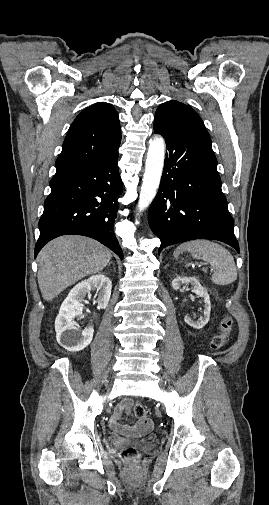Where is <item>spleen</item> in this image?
I'll list each match as a JSON object with an SVG mask.
<instances>
[{
	"mask_svg": "<svg viewBox=\"0 0 269 505\" xmlns=\"http://www.w3.org/2000/svg\"><path fill=\"white\" fill-rule=\"evenodd\" d=\"M189 252L194 258L209 263L214 270L212 281L217 285H228L237 279V270L231 253L222 245L206 239H197L180 244L173 255L178 258Z\"/></svg>",
	"mask_w": 269,
	"mask_h": 505,
	"instance_id": "1",
	"label": "spleen"
}]
</instances>
